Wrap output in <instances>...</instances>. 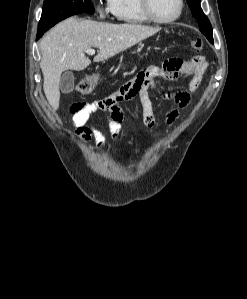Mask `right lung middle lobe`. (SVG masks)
<instances>
[{
    "mask_svg": "<svg viewBox=\"0 0 247 299\" xmlns=\"http://www.w3.org/2000/svg\"><path fill=\"white\" fill-rule=\"evenodd\" d=\"M80 13H94L91 0H44L37 37H42L59 21Z\"/></svg>",
    "mask_w": 247,
    "mask_h": 299,
    "instance_id": "dd1d6c3e",
    "label": "right lung middle lobe"
}]
</instances>
